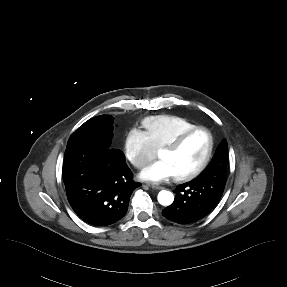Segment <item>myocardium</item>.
Here are the masks:
<instances>
[{
	"label": "myocardium",
	"mask_w": 287,
	"mask_h": 287,
	"mask_svg": "<svg viewBox=\"0 0 287 287\" xmlns=\"http://www.w3.org/2000/svg\"><path fill=\"white\" fill-rule=\"evenodd\" d=\"M203 131L207 134L209 144H208V149L205 154L204 159L202 162L192 171L180 175V176H175L174 179L176 181H190L193 180L194 178L198 177L208 166V164L211 161L213 152H214V146H215V141H214V136L212 132L204 127V126H195L194 128H191L185 132H183L181 135H179L177 138L174 140L170 141L169 143L165 144L161 150L165 151H176L182 147V145L195 133ZM160 150V151H161Z\"/></svg>",
	"instance_id": "1"
}]
</instances>
